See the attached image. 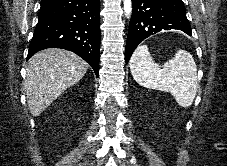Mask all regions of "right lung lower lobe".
<instances>
[{
  "mask_svg": "<svg viewBox=\"0 0 227 166\" xmlns=\"http://www.w3.org/2000/svg\"><path fill=\"white\" fill-rule=\"evenodd\" d=\"M100 0H45L27 60L47 48L72 51L88 62L98 77Z\"/></svg>",
  "mask_w": 227,
  "mask_h": 166,
  "instance_id": "1",
  "label": "right lung lower lobe"
}]
</instances>
